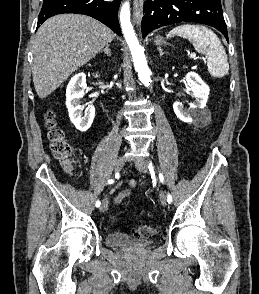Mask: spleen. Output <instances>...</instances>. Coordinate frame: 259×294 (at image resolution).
Listing matches in <instances>:
<instances>
[{
  "label": "spleen",
  "instance_id": "spleen-1",
  "mask_svg": "<svg viewBox=\"0 0 259 294\" xmlns=\"http://www.w3.org/2000/svg\"><path fill=\"white\" fill-rule=\"evenodd\" d=\"M180 36L188 39L195 50L207 56L209 73L216 78L224 77L229 70L228 58L221 41L209 28L185 24L173 28L167 37Z\"/></svg>",
  "mask_w": 259,
  "mask_h": 294
}]
</instances>
